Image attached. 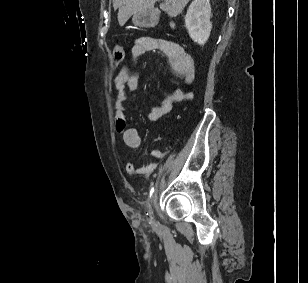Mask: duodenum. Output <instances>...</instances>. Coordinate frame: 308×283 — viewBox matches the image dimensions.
<instances>
[{
    "label": "duodenum",
    "instance_id": "obj_1",
    "mask_svg": "<svg viewBox=\"0 0 308 283\" xmlns=\"http://www.w3.org/2000/svg\"><path fill=\"white\" fill-rule=\"evenodd\" d=\"M147 26H154L158 22V16L155 12H150L143 20Z\"/></svg>",
    "mask_w": 308,
    "mask_h": 283
}]
</instances>
